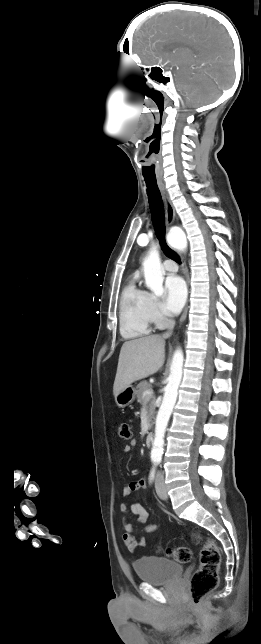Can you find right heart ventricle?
Instances as JSON below:
<instances>
[{"instance_id":"1","label":"right heart ventricle","mask_w":261,"mask_h":644,"mask_svg":"<svg viewBox=\"0 0 261 644\" xmlns=\"http://www.w3.org/2000/svg\"><path fill=\"white\" fill-rule=\"evenodd\" d=\"M150 295L140 289L136 279L125 286L120 301V332L128 339L143 337L152 331Z\"/></svg>"}]
</instances>
